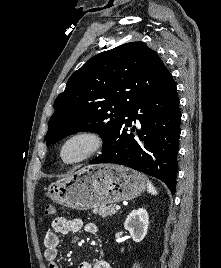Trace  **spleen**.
Segmentation results:
<instances>
[{"label":"spleen","mask_w":221,"mask_h":268,"mask_svg":"<svg viewBox=\"0 0 221 268\" xmlns=\"http://www.w3.org/2000/svg\"><path fill=\"white\" fill-rule=\"evenodd\" d=\"M147 192L150 193L151 195L158 194L156 188L153 186V184L149 180L147 181Z\"/></svg>","instance_id":"obj_1"}]
</instances>
